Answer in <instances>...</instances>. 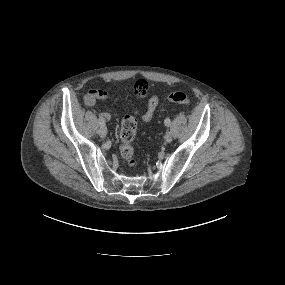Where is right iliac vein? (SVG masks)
I'll use <instances>...</instances> for the list:
<instances>
[{"label": "right iliac vein", "instance_id": "1", "mask_svg": "<svg viewBox=\"0 0 285 285\" xmlns=\"http://www.w3.org/2000/svg\"><path fill=\"white\" fill-rule=\"evenodd\" d=\"M98 134L101 137H105L107 135V128L104 125H101L98 129Z\"/></svg>", "mask_w": 285, "mask_h": 285}]
</instances>
